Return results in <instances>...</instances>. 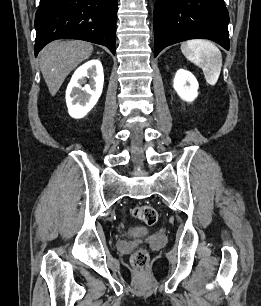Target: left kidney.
Segmentation results:
<instances>
[{"label":"left kidney","mask_w":261,"mask_h":306,"mask_svg":"<svg viewBox=\"0 0 261 306\" xmlns=\"http://www.w3.org/2000/svg\"><path fill=\"white\" fill-rule=\"evenodd\" d=\"M173 87L180 98L186 102H192L198 96V81L192 73L184 69L176 72Z\"/></svg>","instance_id":"obj_1"}]
</instances>
